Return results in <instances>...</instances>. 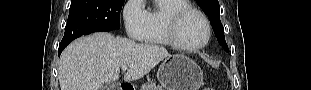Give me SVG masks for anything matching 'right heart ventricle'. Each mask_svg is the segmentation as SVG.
<instances>
[{"label":"right heart ventricle","mask_w":311,"mask_h":90,"mask_svg":"<svg viewBox=\"0 0 311 90\" xmlns=\"http://www.w3.org/2000/svg\"><path fill=\"white\" fill-rule=\"evenodd\" d=\"M191 6L186 0H156L154 6L146 11L144 43L173 46L167 33L166 21L176 10Z\"/></svg>","instance_id":"1"}]
</instances>
